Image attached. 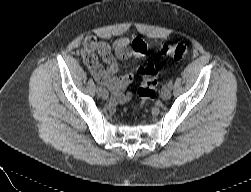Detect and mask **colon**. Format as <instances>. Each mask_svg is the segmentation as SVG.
I'll use <instances>...</instances> for the list:
<instances>
[{
  "mask_svg": "<svg viewBox=\"0 0 251 192\" xmlns=\"http://www.w3.org/2000/svg\"><path fill=\"white\" fill-rule=\"evenodd\" d=\"M161 54L166 57H171L176 61L183 60L188 55V49L183 43L176 44H164L161 47ZM138 76L141 79L140 87L137 94L139 96L141 104L152 100L156 96L157 86V69L152 63L140 67L137 71ZM139 110L138 106H132L129 109V114L134 116Z\"/></svg>",
  "mask_w": 251,
  "mask_h": 192,
  "instance_id": "obj_1",
  "label": "colon"
}]
</instances>
